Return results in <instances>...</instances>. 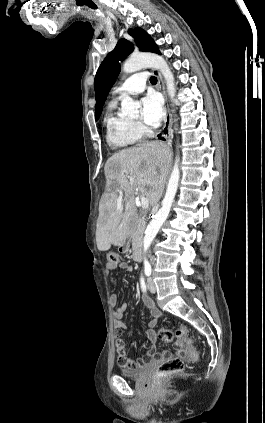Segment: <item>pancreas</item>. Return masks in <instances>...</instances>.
Returning <instances> with one entry per match:
<instances>
[{"instance_id":"cf45deb5","label":"pancreas","mask_w":265,"mask_h":423,"mask_svg":"<svg viewBox=\"0 0 265 423\" xmlns=\"http://www.w3.org/2000/svg\"><path fill=\"white\" fill-rule=\"evenodd\" d=\"M144 228H145V221L140 220L138 224L136 225V227L132 230L131 235H132L134 244H139L141 242Z\"/></svg>"}]
</instances>
